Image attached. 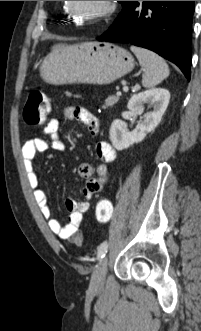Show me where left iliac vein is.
<instances>
[{
  "label": "left iliac vein",
  "mask_w": 201,
  "mask_h": 331,
  "mask_svg": "<svg viewBox=\"0 0 201 331\" xmlns=\"http://www.w3.org/2000/svg\"><path fill=\"white\" fill-rule=\"evenodd\" d=\"M107 265H108V258L103 257L100 262L99 266L94 271L91 282H90V288L91 290H100L105 283L106 274H107Z\"/></svg>",
  "instance_id": "obj_1"
}]
</instances>
